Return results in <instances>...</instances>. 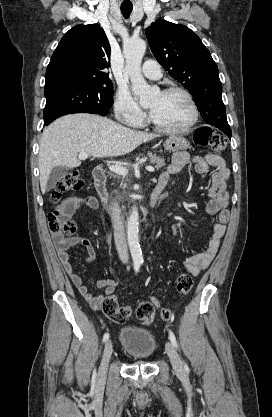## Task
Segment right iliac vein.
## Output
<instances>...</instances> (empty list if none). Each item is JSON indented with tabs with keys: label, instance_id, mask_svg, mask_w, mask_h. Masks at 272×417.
I'll list each match as a JSON object with an SVG mask.
<instances>
[{
	"label": "right iliac vein",
	"instance_id": "obj_1",
	"mask_svg": "<svg viewBox=\"0 0 272 417\" xmlns=\"http://www.w3.org/2000/svg\"><path fill=\"white\" fill-rule=\"evenodd\" d=\"M112 351H113L112 342L111 340H108L105 344L103 357H102V361H101V365L99 369L100 377H104L107 373L108 363H109Z\"/></svg>",
	"mask_w": 272,
	"mask_h": 417
}]
</instances>
